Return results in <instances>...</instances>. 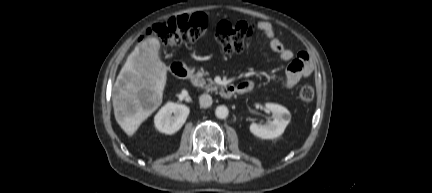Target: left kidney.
<instances>
[{"instance_id":"obj_1","label":"left kidney","mask_w":432,"mask_h":193,"mask_svg":"<svg viewBox=\"0 0 432 193\" xmlns=\"http://www.w3.org/2000/svg\"><path fill=\"white\" fill-rule=\"evenodd\" d=\"M265 107L272 112L273 121L265 125L252 123L250 131L262 139H274L283 134L291 120V114L285 107L279 104L266 103Z\"/></svg>"}]
</instances>
